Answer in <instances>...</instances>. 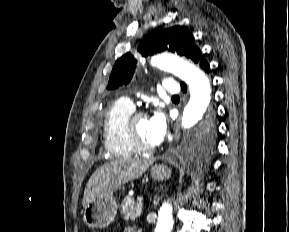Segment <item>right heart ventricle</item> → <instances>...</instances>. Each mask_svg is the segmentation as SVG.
Returning a JSON list of instances; mask_svg holds the SVG:
<instances>
[{"label": "right heart ventricle", "mask_w": 289, "mask_h": 232, "mask_svg": "<svg viewBox=\"0 0 289 232\" xmlns=\"http://www.w3.org/2000/svg\"><path fill=\"white\" fill-rule=\"evenodd\" d=\"M133 107L125 100L114 101L107 108L102 122V137L105 150L116 158H128L137 154L125 134V122Z\"/></svg>", "instance_id": "e07e8e85"}]
</instances>
